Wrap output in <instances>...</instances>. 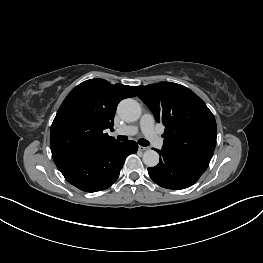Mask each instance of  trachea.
<instances>
[{"instance_id": "3493384b", "label": "trachea", "mask_w": 263, "mask_h": 263, "mask_svg": "<svg viewBox=\"0 0 263 263\" xmlns=\"http://www.w3.org/2000/svg\"><path fill=\"white\" fill-rule=\"evenodd\" d=\"M117 139H118L119 141H127V140H128V137H127V136L118 135V136H117ZM138 143H139L141 146H148V145H149V142H148L146 139H139V140H138Z\"/></svg>"}]
</instances>
